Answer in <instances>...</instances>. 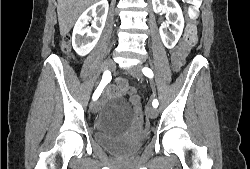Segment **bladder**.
Here are the masks:
<instances>
[{
  "mask_svg": "<svg viewBox=\"0 0 250 169\" xmlns=\"http://www.w3.org/2000/svg\"><path fill=\"white\" fill-rule=\"evenodd\" d=\"M127 136L128 134L94 133V141L102 149L122 154H133L142 145H134Z\"/></svg>",
  "mask_w": 250,
  "mask_h": 169,
  "instance_id": "1",
  "label": "bladder"
}]
</instances>
